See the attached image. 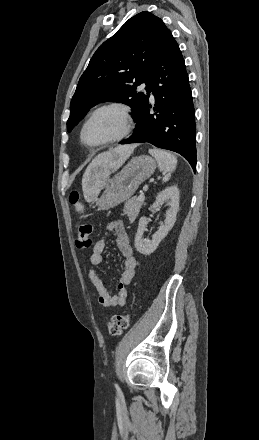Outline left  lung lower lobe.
I'll return each instance as SVG.
<instances>
[{
    "label": "left lung lower lobe",
    "mask_w": 259,
    "mask_h": 440,
    "mask_svg": "<svg viewBox=\"0 0 259 440\" xmlns=\"http://www.w3.org/2000/svg\"><path fill=\"white\" fill-rule=\"evenodd\" d=\"M155 97L136 119L134 133L121 144L148 142L181 154L196 169L195 112L185 62L172 34L166 38L153 68L147 96Z\"/></svg>",
    "instance_id": "1"
}]
</instances>
